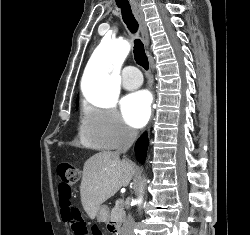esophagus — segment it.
I'll return each instance as SVG.
<instances>
[{
	"label": "esophagus",
	"instance_id": "obj_1",
	"mask_svg": "<svg viewBox=\"0 0 250 235\" xmlns=\"http://www.w3.org/2000/svg\"><path fill=\"white\" fill-rule=\"evenodd\" d=\"M133 11H134L135 17L137 18V21L139 23L140 32H141L143 42L145 43L146 46H148V44H149L148 30H147V26H146V23L144 20V14H143V11H142L140 4H135L133 6Z\"/></svg>",
	"mask_w": 250,
	"mask_h": 235
}]
</instances>
